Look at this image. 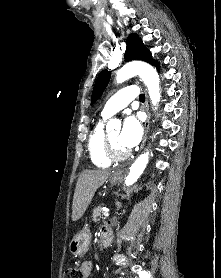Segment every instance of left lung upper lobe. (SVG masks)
Listing matches in <instances>:
<instances>
[{
  "instance_id": "1",
  "label": "left lung upper lobe",
  "mask_w": 221,
  "mask_h": 278,
  "mask_svg": "<svg viewBox=\"0 0 221 278\" xmlns=\"http://www.w3.org/2000/svg\"><path fill=\"white\" fill-rule=\"evenodd\" d=\"M126 43L127 49L124 55L125 62H129L131 60H142L151 65H155L159 69V63L152 58L151 53L145 47L141 38H139L137 34H130ZM110 75L111 73L107 70H103L99 74L93 88L91 104H94L105 90L108 85Z\"/></svg>"
}]
</instances>
